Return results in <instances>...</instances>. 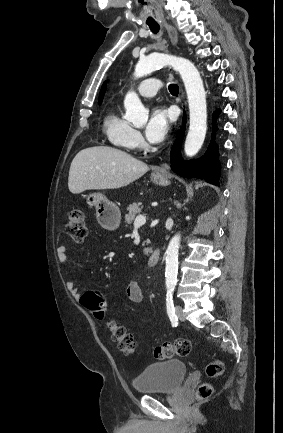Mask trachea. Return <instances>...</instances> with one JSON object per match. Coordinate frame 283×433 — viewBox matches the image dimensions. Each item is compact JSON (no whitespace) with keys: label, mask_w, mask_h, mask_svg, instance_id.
<instances>
[{"label":"trachea","mask_w":283,"mask_h":433,"mask_svg":"<svg viewBox=\"0 0 283 433\" xmlns=\"http://www.w3.org/2000/svg\"><path fill=\"white\" fill-rule=\"evenodd\" d=\"M149 29L151 30V32L156 35L157 33H159L160 27L159 25H149ZM169 92L172 95H178L179 93V87L178 85H176V83H171L169 85Z\"/></svg>","instance_id":"3493384b"}]
</instances>
